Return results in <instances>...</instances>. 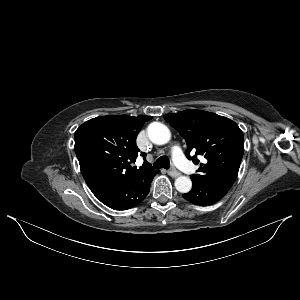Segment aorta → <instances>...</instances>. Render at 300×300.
I'll return each mask as SVG.
<instances>
[{"label": "aorta", "mask_w": 300, "mask_h": 300, "mask_svg": "<svg viewBox=\"0 0 300 300\" xmlns=\"http://www.w3.org/2000/svg\"><path fill=\"white\" fill-rule=\"evenodd\" d=\"M149 139L157 145L166 144L171 133L168 127L160 122H153L147 128ZM175 188L181 193H188L192 188V181L187 176H180L175 180Z\"/></svg>", "instance_id": "762f6f07"}]
</instances>
